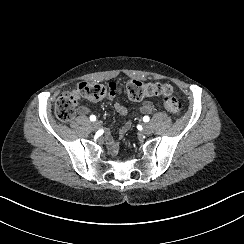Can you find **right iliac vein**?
<instances>
[{
	"label": "right iliac vein",
	"mask_w": 244,
	"mask_h": 244,
	"mask_svg": "<svg viewBox=\"0 0 244 244\" xmlns=\"http://www.w3.org/2000/svg\"><path fill=\"white\" fill-rule=\"evenodd\" d=\"M101 124L99 121H95L93 124H92V127L93 129L96 131L100 128Z\"/></svg>",
	"instance_id": "right-iliac-vein-1"
}]
</instances>
